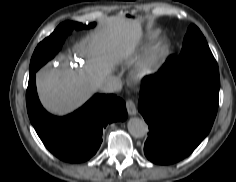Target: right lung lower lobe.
<instances>
[{"label": "right lung lower lobe", "mask_w": 236, "mask_h": 182, "mask_svg": "<svg viewBox=\"0 0 236 182\" xmlns=\"http://www.w3.org/2000/svg\"><path fill=\"white\" fill-rule=\"evenodd\" d=\"M35 73L29 72L26 92L28 115L43 144L62 161H87L99 149L107 124L127 118L125 102L113 94H95L74 113L64 117L53 116L38 99Z\"/></svg>", "instance_id": "98d812e1"}]
</instances>
